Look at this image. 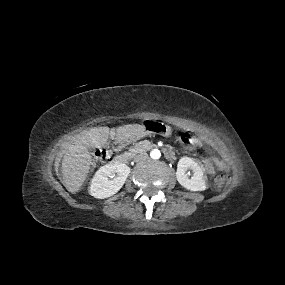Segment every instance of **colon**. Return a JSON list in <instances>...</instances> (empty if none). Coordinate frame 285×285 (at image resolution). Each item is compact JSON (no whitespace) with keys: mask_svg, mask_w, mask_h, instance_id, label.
<instances>
[{"mask_svg":"<svg viewBox=\"0 0 285 285\" xmlns=\"http://www.w3.org/2000/svg\"><path fill=\"white\" fill-rule=\"evenodd\" d=\"M180 140L181 142L185 143L186 147L188 148H195L198 145V140L197 138L193 137L190 133L188 132H183L180 135ZM98 161L99 162H107L109 161V154L104 151L99 152L98 156ZM230 182V176L226 173L219 174L218 176L215 177L214 180V188L216 190H220L227 186Z\"/></svg>","mask_w":285,"mask_h":285,"instance_id":"1","label":"colon"}]
</instances>
